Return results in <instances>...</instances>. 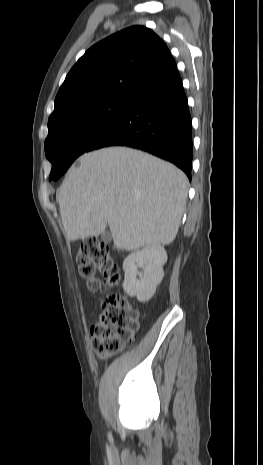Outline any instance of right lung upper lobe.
<instances>
[{
  "label": "right lung upper lobe",
  "mask_w": 263,
  "mask_h": 465,
  "mask_svg": "<svg viewBox=\"0 0 263 465\" xmlns=\"http://www.w3.org/2000/svg\"><path fill=\"white\" fill-rule=\"evenodd\" d=\"M177 70L165 43L152 30L132 26L92 46L59 89L49 120L75 106L108 97H134Z\"/></svg>",
  "instance_id": "right-lung-upper-lobe-1"
}]
</instances>
